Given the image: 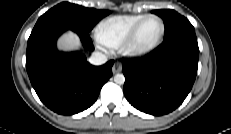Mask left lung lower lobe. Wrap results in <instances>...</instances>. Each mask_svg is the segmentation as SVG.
<instances>
[{
  "label": "left lung lower lobe",
  "mask_w": 231,
  "mask_h": 134,
  "mask_svg": "<svg viewBox=\"0 0 231 134\" xmlns=\"http://www.w3.org/2000/svg\"><path fill=\"white\" fill-rule=\"evenodd\" d=\"M199 48L194 32L164 39L147 56L123 62L124 94L138 110L164 115L182 104L196 78Z\"/></svg>",
  "instance_id": "left-lung-lower-lobe-1"
}]
</instances>
